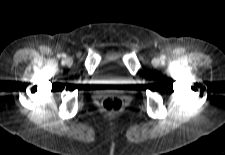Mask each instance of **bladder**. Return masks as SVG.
Wrapping results in <instances>:
<instances>
[{"mask_svg": "<svg viewBox=\"0 0 225 155\" xmlns=\"http://www.w3.org/2000/svg\"><path fill=\"white\" fill-rule=\"evenodd\" d=\"M118 62L119 56L116 54L111 55L98 66L95 72V78L102 82L126 84L128 77Z\"/></svg>", "mask_w": 225, "mask_h": 155, "instance_id": "bladder-1", "label": "bladder"}]
</instances>
